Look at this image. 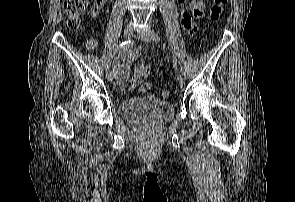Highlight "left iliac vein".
Instances as JSON below:
<instances>
[{"label":"left iliac vein","mask_w":295,"mask_h":202,"mask_svg":"<svg viewBox=\"0 0 295 202\" xmlns=\"http://www.w3.org/2000/svg\"><path fill=\"white\" fill-rule=\"evenodd\" d=\"M138 37L144 41V42H150L151 41V31L148 30V29H144V30H139L138 31ZM177 80L180 84H183L184 83V75L183 74H179L177 76Z\"/></svg>","instance_id":"obj_1"}]
</instances>
